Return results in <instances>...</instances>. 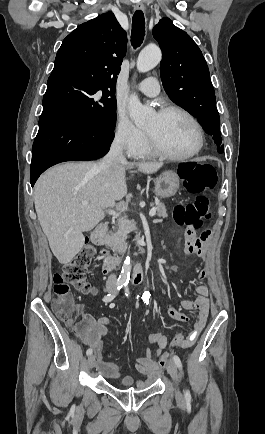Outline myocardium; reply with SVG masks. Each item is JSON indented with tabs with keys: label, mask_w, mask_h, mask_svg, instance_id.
<instances>
[{
	"label": "myocardium",
	"mask_w": 265,
	"mask_h": 434,
	"mask_svg": "<svg viewBox=\"0 0 265 434\" xmlns=\"http://www.w3.org/2000/svg\"><path fill=\"white\" fill-rule=\"evenodd\" d=\"M172 111H177V112H180L183 115H185L190 120L192 125L194 126L195 131H196V137H197L195 147L191 151H189L185 154H171V153L163 150L160 146H158L156 144V142L154 141L152 135L146 130L150 150L157 157H160V158L168 160V161L189 160V159L195 157L196 155H198L203 149L204 131H203L202 125L200 124V122L197 120V118L189 110H187L183 106L176 105V104L163 106L162 108H160L158 110L157 114L162 116V115H165V114L172 112Z\"/></svg>",
	"instance_id": "f54148a6"
}]
</instances>
